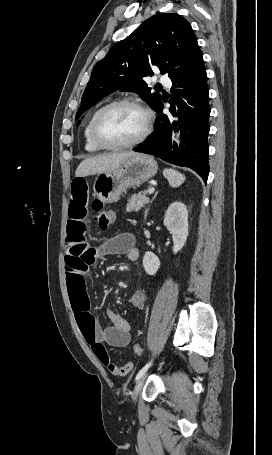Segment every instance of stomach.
<instances>
[{"label":"stomach","mask_w":272,"mask_h":455,"mask_svg":"<svg viewBox=\"0 0 272 455\" xmlns=\"http://www.w3.org/2000/svg\"><path fill=\"white\" fill-rule=\"evenodd\" d=\"M157 170V163L152 156L136 153L116 168L98 174L93 185L94 194L103 203L116 202L123 191L141 185L153 177Z\"/></svg>","instance_id":"obj_1"}]
</instances>
